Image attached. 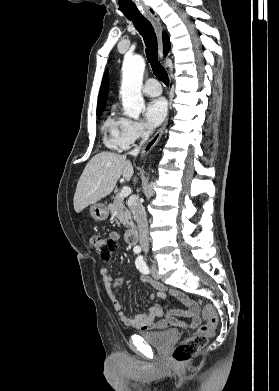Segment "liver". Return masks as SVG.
<instances>
[{
  "label": "liver",
  "mask_w": 279,
  "mask_h": 391,
  "mask_svg": "<svg viewBox=\"0 0 279 391\" xmlns=\"http://www.w3.org/2000/svg\"><path fill=\"white\" fill-rule=\"evenodd\" d=\"M133 166L125 155L112 152L96 154L86 165L77 183L73 205L77 213L109 195L123 176L129 181Z\"/></svg>",
  "instance_id": "liver-1"
}]
</instances>
